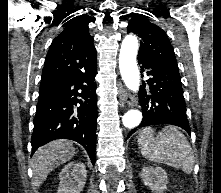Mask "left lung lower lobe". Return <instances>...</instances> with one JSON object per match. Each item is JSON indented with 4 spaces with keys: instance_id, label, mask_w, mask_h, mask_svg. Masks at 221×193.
I'll use <instances>...</instances> for the list:
<instances>
[{
    "instance_id": "obj_1",
    "label": "left lung lower lobe",
    "mask_w": 221,
    "mask_h": 193,
    "mask_svg": "<svg viewBox=\"0 0 221 193\" xmlns=\"http://www.w3.org/2000/svg\"><path fill=\"white\" fill-rule=\"evenodd\" d=\"M138 61L142 65L141 76L144 71L149 76L148 90L143 82L139 93L143 119L137 128L129 132L128 137L139 128L157 124L176 125L190 133L178 69L140 55Z\"/></svg>"
}]
</instances>
